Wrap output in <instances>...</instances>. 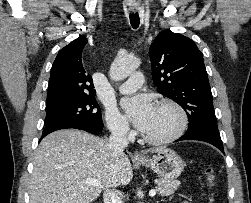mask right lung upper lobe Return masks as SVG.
<instances>
[{
  "mask_svg": "<svg viewBox=\"0 0 251 203\" xmlns=\"http://www.w3.org/2000/svg\"><path fill=\"white\" fill-rule=\"evenodd\" d=\"M86 43L87 39L79 36L59 51L51 69L46 107L95 97L92 77L82 64Z\"/></svg>",
  "mask_w": 251,
  "mask_h": 203,
  "instance_id": "right-lung-upper-lobe-1",
  "label": "right lung upper lobe"
}]
</instances>
